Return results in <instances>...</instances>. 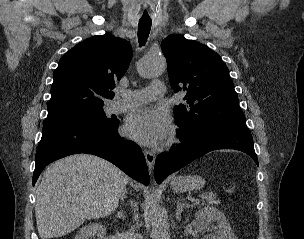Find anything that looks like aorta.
Here are the masks:
<instances>
[{"label": "aorta", "mask_w": 304, "mask_h": 239, "mask_svg": "<svg viewBox=\"0 0 304 239\" xmlns=\"http://www.w3.org/2000/svg\"><path fill=\"white\" fill-rule=\"evenodd\" d=\"M166 68V60L161 55L147 56L139 65V74L144 78L157 77ZM152 239H170L169 222L165 211L152 199L149 204Z\"/></svg>", "instance_id": "1"}]
</instances>
